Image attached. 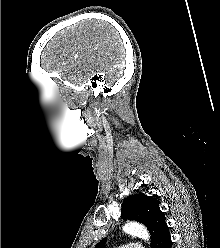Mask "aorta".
Masks as SVG:
<instances>
[{
	"instance_id": "1",
	"label": "aorta",
	"mask_w": 220,
	"mask_h": 248,
	"mask_svg": "<svg viewBox=\"0 0 220 248\" xmlns=\"http://www.w3.org/2000/svg\"><path fill=\"white\" fill-rule=\"evenodd\" d=\"M123 231L127 234L130 235H135L139 238H142L143 240H149V233L147 231V229L136 222H127L124 226H123Z\"/></svg>"
}]
</instances>
